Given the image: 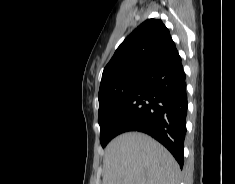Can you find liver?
I'll use <instances>...</instances> for the list:
<instances>
[{
	"label": "liver",
	"instance_id": "6515ba94",
	"mask_svg": "<svg viewBox=\"0 0 235 184\" xmlns=\"http://www.w3.org/2000/svg\"><path fill=\"white\" fill-rule=\"evenodd\" d=\"M103 184H179L170 152L146 134L127 132L108 144Z\"/></svg>",
	"mask_w": 235,
	"mask_h": 184
}]
</instances>
